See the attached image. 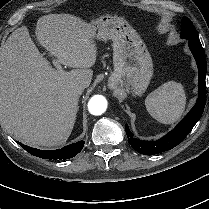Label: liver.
I'll return each instance as SVG.
<instances>
[{
    "label": "liver",
    "instance_id": "liver-1",
    "mask_svg": "<svg viewBox=\"0 0 209 209\" xmlns=\"http://www.w3.org/2000/svg\"><path fill=\"white\" fill-rule=\"evenodd\" d=\"M35 35L59 63L75 69L55 70L26 26L13 31L0 51V120L25 144L59 146L73 130L80 95L75 86L90 85L97 48L91 25L70 14L40 17Z\"/></svg>",
    "mask_w": 209,
    "mask_h": 209
}]
</instances>
